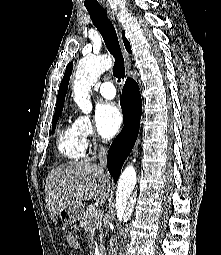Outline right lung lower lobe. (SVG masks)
Segmentation results:
<instances>
[{"mask_svg": "<svg viewBox=\"0 0 221 255\" xmlns=\"http://www.w3.org/2000/svg\"><path fill=\"white\" fill-rule=\"evenodd\" d=\"M121 107L125 124L112 142L107 156V166L115 181L121 173L123 162L131 152L139 132L141 118V96L138 84L128 78L122 90Z\"/></svg>", "mask_w": 221, "mask_h": 255, "instance_id": "1", "label": "right lung lower lobe"}]
</instances>
